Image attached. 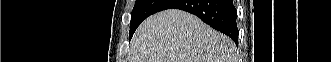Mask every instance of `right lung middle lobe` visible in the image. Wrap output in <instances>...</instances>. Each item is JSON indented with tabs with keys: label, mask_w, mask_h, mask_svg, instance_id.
Returning <instances> with one entry per match:
<instances>
[{
	"label": "right lung middle lobe",
	"mask_w": 331,
	"mask_h": 62,
	"mask_svg": "<svg viewBox=\"0 0 331 62\" xmlns=\"http://www.w3.org/2000/svg\"><path fill=\"white\" fill-rule=\"evenodd\" d=\"M170 1L171 0H136L131 13L129 38L131 39L133 33L144 19L156 12L162 11Z\"/></svg>",
	"instance_id": "obj_1"
}]
</instances>
